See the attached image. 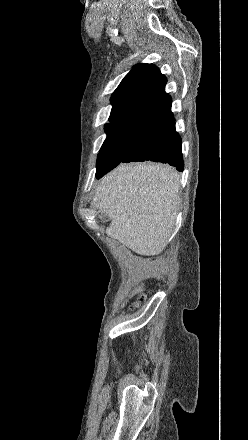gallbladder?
<instances>
[{"label": "gallbladder", "mask_w": 248, "mask_h": 440, "mask_svg": "<svg viewBox=\"0 0 248 440\" xmlns=\"http://www.w3.org/2000/svg\"><path fill=\"white\" fill-rule=\"evenodd\" d=\"M101 218H102L103 221H108L109 220V216H108L107 213H103Z\"/></svg>", "instance_id": "1"}]
</instances>
